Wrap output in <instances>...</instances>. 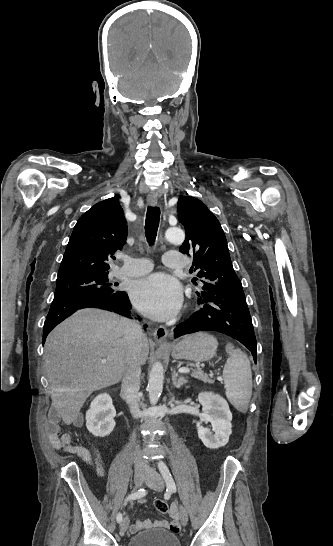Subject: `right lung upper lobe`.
I'll return each instance as SVG.
<instances>
[{
	"label": "right lung upper lobe",
	"instance_id": "cb5924a9",
	"mask_svg": "<svg viewBox=\"0 0 333 546\" xmlns=\"http://www.w3.org/2000/svg\"><path fill=\"white\" fill-rule=\"evenodd\" d=\"M127 222L116 197L95 204L77 221L58 278L108 273L112 254L126 242Z\"/></svg>",
	"mask_w": 333,
	"mask_h": 546
}]
</instances>
